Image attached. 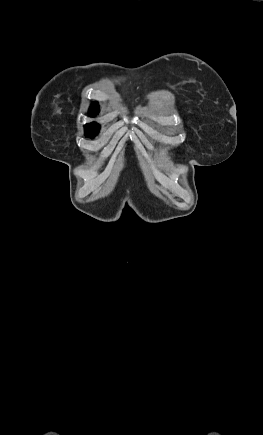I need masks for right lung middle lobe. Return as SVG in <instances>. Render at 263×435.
<instances>
[{"instance_id": "1", "label": "right lung middle lobe", "mask_w": 263, "mask_h": 435, "mask_svg": "<svg viewBox=\"0 0 263 435\" xmlns=\"http://www.w3.org/2000/svg\"><path fill=\"white\" fill-rule=\"evenodd\" d=\"M86 128V136L93 137L98 134L99 128L95 127H85Z\"/></svg>"}]
</instances>
